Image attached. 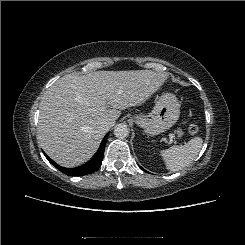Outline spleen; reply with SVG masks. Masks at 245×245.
Segmentation results:
<instances>
[{"mask_svg": "<svg viewBox=\"0 0 245 245\" xmlns=\"http://www.w3.org/2000/svg\"><path fill=\"white\" fill-rule=\"evenodd\" d=\"M202 143L201 137H194L183 146L173 145L166 150H162L160 155L165 162L166 168L175 172L188 166L197 157Z\"/></svg>", "mask_w": 245, "mask_h": 245, "instance_id": "spleen-1", "label": "spleen"}]
</instances>
